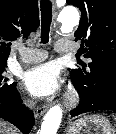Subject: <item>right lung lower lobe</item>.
I'll use <instances>...</instances> for the list:
<instances>
[{"mask_svg":"<svg viewBox=\"0 0 116 134\" xmlns=\"http://www.w3.org/2000/svg\"><path fill=\"white\" fill-rule=\"evenodd\" d=\"M0 118L9 121L24 134H29L34 125L33 111L22 104L19 93L12 101L0 103Z\"/></svg>","mask_w":116,"mask_h":134,"instance_id":"98d812e1","label":"right lung lower lobe"}]
</instances>
